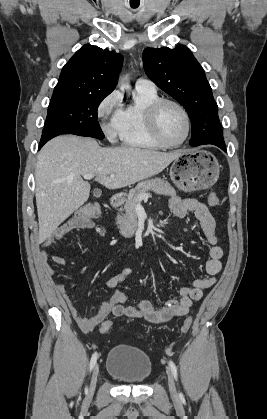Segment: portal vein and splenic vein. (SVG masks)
<instances>
[{"instance_id":"portal-vein-and-splenic-vein-1","label":"portal vein and splenic vein","mask_w":267,"mask_h":419,"mask_svg":"<svg viewBox=\"0 0 267 419\" xmlns=\"http://www.w3.org/2000/svg\"><path fill=\"white\" fill-rule=\"evenodd\" d=\"M111 177H115V175L114 174H111L110 175ZM94 177V175L93 174H85V175H83V178L84 179H86V180H90V179H92ZM149 197H151V194H144V195H140L139 196V200L141 201V200H147ZM138 206H140L139 204H138Z\"/></svg>"}]
</instances>
